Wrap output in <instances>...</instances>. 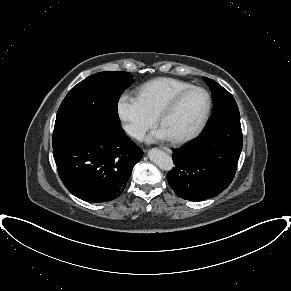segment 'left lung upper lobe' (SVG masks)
<instances>
[{"mask_svg":"<svg viewBox=\"0 0 291 291\" xmlns=\"http://www.w3.org/2000/svg\"><path fill=\"white\" fill-rule=\"evenodd\" d=\"M203 79L210 86L214 102L213 114L204 132L220 124H240V114L233 96L214 80Z\"/></svg>","mask_w":291,"mask_h":291,"instance_id":"left-lung-upper-lobe-1","label":"left lung upper lobe"}]
</instances>
